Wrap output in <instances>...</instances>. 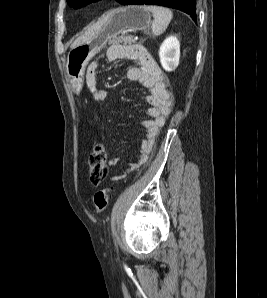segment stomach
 Masks as SVG:
<instances>
[{"instance_id": "0dacf381", "label": "stomach", "mask_w": 267, "mask_h": 298, "mask_svg": "<svg viewBox=\"0 0 267 298\" xmlns=\"http://www.w3.org/2000/svg\"><path fill=\"white\" fill-rule=\"evenodd\" d=\"M107 22L89 41L70 50L67 57V77L75 92L83 87V77L89 61L118 34L133 30L144 31L150 27L151 14L143 6L130 5L109 12Z\"/></svg>"}]
</instances>
